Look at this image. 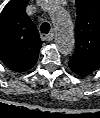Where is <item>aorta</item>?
Returning <instances> with one entry per match:
<instances>
[{"mask_svg": "<svg viewBox=\"0 0 100 118\" xmlns=\"http://www.w3.org/2000/svg\"><path fill=\"white\" fill-rule=\"evenodd\" d=\"M51 20L56 29L55 43L62 55H69L74 50L75 39L73 23L68 12L59 5L52 3L49 9Z\"/></svg>", "mask_w": 100, "mask_h": 118, "instance_id": "aorta-1", "label": "aorta"}]
</instances>
